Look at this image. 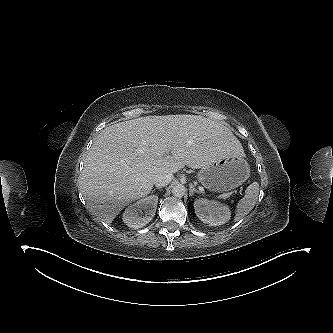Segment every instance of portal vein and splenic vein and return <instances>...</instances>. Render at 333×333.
<instances>
[{"instance_id": "portal-vein-and-splenic-vein-1", "label": "portal vein and splenic vein", "mask_w": 333, "mask_h": 333, "mask_svg": "<svg viewBox=\"0 0 333 333\" xmlns=\"http://www.w3.org/2000/svg\"><path fill=\"white\" fill-rule=\"evenodd\" d=\"M201 191H204V189L201 187V189H200ZM230 196V193L228 192V193H223L222 194V197H229Z\"/></svg>"}]
</instances>
